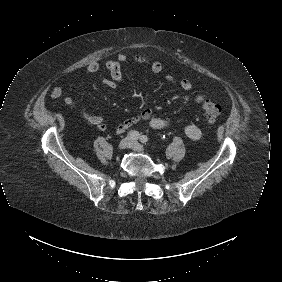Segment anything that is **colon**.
Masks as SVG:
<instances>
[{"instance_id":"5ec220e1","label":"colon","mask_w":282,"mask_h":282,"mask_svg":"<svg viewBox=\"0 0 282 282\" xmlns=\"http://www.w3.org/2000/svg\"><path fill=\"white\" fill-rule=\"evenodd\" d=\"M203 112L209 123H214L218 120L221 114V107L215 101L210 99L203 100Z\"/></svg>"}]
</instances>
